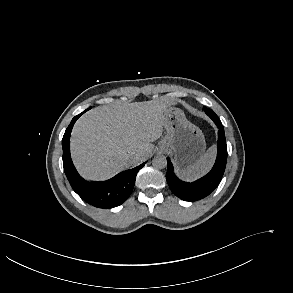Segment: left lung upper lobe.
I'll use <instances>...</instances> for the list:
<instances>
[{
    "label": "left lung upper lobe",
    "instance_id": "1",
    "mask_svg": "<svg viewBox=\"0 0 293 293\" xmlns=\"http://www.w3.org/2000/svg\"><path fill=\"white\" fill-rule=\"evenodd\" d=\"M204 111L211 119L218 118V116L214 113L213 110L204 107Z\"/></svg>",
    "mask_w": 293,
    "mask_h": 293
}]
</instances>
